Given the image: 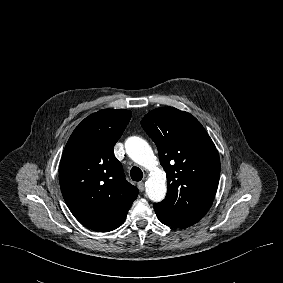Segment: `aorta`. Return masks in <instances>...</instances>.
<instances>
[{"label":"aorta","mask_w":283,"mask_h":283,"mask_svg":"<svg viewBox=\"0 0 283 283\" xmlns=\"http://www.w3.org/2000/svg\"><path fill=\"white\" fill-rule=\"evenodd\" d=\"M125 149L135 163L152 172L145 186L149 199L154 202L162 201L167 192L166 177L162 170L156 169L157 160L152 148L144 139L133 136L126 140Z\"/></svg>","instance_id":"obj_1"}]
</instances>
